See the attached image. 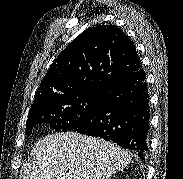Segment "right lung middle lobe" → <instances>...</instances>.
Segmentation results:
<instances>
[{"label":"right lung middle lobe","mask_w":183,"mask_h":179,"mask_svg":"<svg viewBox=\"0 0 183 179\" xmlns=\"http://www.w3.org/2000/svg\"><path fill=\"white\" fill-rule=\"evenodd\" d=\"M100 103V94L76 97H57L32 106L27 120L26 134L40 123L55 124V131L76 130L93 118Z\"/></svg>","instance_id":"dd1d6c3e"}]
</instances>
